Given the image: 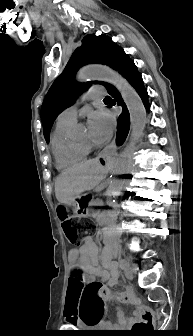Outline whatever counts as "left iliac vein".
Wrapping results in <instances>:
<instances>
[{
    "mask_svg": "<svg viewBox=\"0 0 193 336\" xmlns=\"http://www.w3.org/2000/svg\"><path fill=\"white\" fill-rule=\"evenodd\" d=\"M120 267L123 269L126 278H128L129 280H132L133 279V269L131 265L128 263V261L125 259H121Z\"/></svg>",
    "mask_w": 193,
    "mask_h": 336,
    "instance_id": "left-iliac-vein-1",
    "label": "left iliac vein"
}]
</instances>
